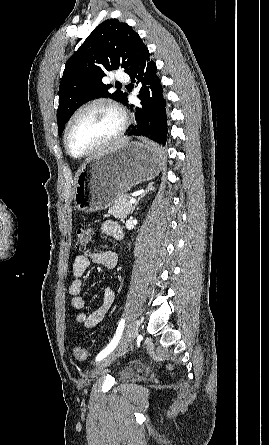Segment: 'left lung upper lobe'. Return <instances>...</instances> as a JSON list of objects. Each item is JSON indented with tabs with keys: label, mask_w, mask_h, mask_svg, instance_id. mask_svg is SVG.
<instances>
[{
	"label": "left lung upper lobe",
	"mask_w": 269,
	"mask_h": 445,
	"mask_svg": "<svg viewBox=\"0 0 269 445\" xmlns=\"http://www.w3.org/2000/svg\"><path fill=\"white\" fill-rule=\"evenodd\" d=\"M146 50L138 33L127 23L110 19L98 25L65 66L59 86V135L84 103L102 96L124 100L126 93H109L112 85L104 84L102 78L119 67L128 73Z\"/></svg>",
	"instance_id": "obj_1"
}]
</instances>
